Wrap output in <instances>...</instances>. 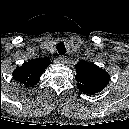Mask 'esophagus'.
Segmentation results:
<instances>
[{
  "instance_id": "1",
  "label": "esophagus",
  "mask_w": 129,
  "mask_h": 129,
  "mask_svg": "<svg viewBox=\"0 0 129 129\" xmlns=\"http://www.w3.org/2000/svg\"><path fill=\"white\" fill-rule=\"evenodd\" d=\"M58 60H59L60 62H62V63H66V56L60 55V56L58 57Z\"/></svg>"
}]
</instances>
